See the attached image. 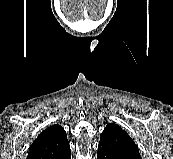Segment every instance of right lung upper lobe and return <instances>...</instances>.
Listing matches in <instances>:
<instances>
[{
  "mask_svg": "<svg viewBox=\"0 0 173 159\" xmlns=\"http://www.w3.org/2000/svg\"><path fill=\"white\" fill-rule=\"evenodd\" d=\"M70 150L65 130L52 125L44 130L29 148L27 159H57Z\"/></svg>",
  "mask_w": 173,
  "mask_h": 159,
  "instance_id": "right-lung-upper-lobe-1",
  "label": "right lung upper lobe"
}]
</instances>
